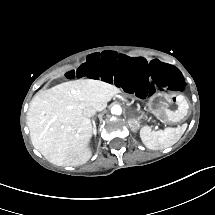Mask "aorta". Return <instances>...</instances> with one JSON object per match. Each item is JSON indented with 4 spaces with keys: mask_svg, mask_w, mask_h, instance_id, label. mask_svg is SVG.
<instances>
[{
    "mask_svg": "<svg viewBox=\"0 0 215 215\" xmlns=\"http://www.w3.org/2000/svg\"><path fill=\"white\" fill-rule=\"evenodd\" d=\"M110 111H111V114L113 115H120L122 113V108L120 105L116 104L111 107Z\"/></svg>",
    "mask_w": 215,
    "mask_h": 215,
    "instance_id": "762f6f07",
    "label": "aorta"
}]
</instances>
